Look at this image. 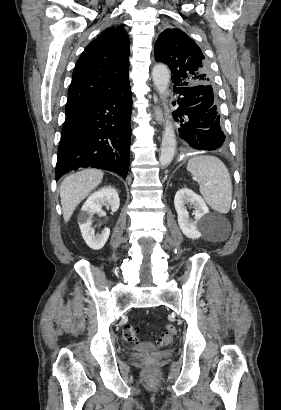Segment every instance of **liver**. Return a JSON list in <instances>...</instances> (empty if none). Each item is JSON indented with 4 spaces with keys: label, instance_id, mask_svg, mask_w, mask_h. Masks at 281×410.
I'll use <instances>...</instances> for the list:
<instances>
[{
    "label": "liver",
    "instance_id": "liver-1",
    "mask_svg": "<svg viewBox=\"0 0 281 410\" xmlns=\"http://www.w3.org/2000/svg\"><path fill=\"white\" fill-rule=\"evenodd\" d=\"M103 172L85 169L66 177L60 186L63 218L67 223L78 204L94 190L103 179Z\"/></svg>",
    "mask_w": 281,
    "mask_h": 410
}]
</instances>
